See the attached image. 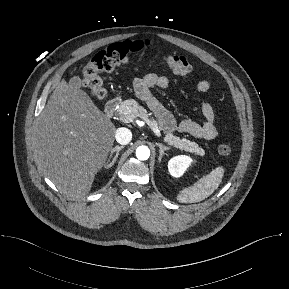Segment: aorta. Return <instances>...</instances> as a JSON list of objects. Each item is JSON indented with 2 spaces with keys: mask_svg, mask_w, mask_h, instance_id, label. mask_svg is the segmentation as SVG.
<instances>
[{
  "mask_svg": "<svg viewBox=\"0 0 289 289\" xmlns=\"http://www.w3.org/2000/svg\"><path fill=\"white\" fill-rule=\"evenodd\" d=\"M136 157L139 160H147L150 157V150L147 146H139L136 149Z\"/></svg>",
  "mask_w": 289,
  "mask_h": 289,
  "instance_id": "obj_1",
  "label": "aorta"
}]
</instances>
